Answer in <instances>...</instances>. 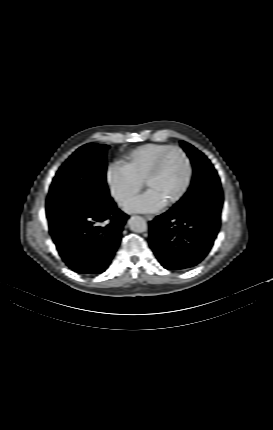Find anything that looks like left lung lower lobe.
<instances>
[{"mask_svg":"<svg viewBox=\"0 0 273 430\" xmlns=\"http://www.w3.org/2000/svg\"><path fill=\"white\" fill-rule=\"evenodd\" d=\"M222 204L221 187L207 185L149 223V244L164 268L189 269L205 258L220 227Z\"/></svg>","mask_w":273,"mask_h":430,"instance_id":"left-lung-lower-lobe-1","label":"left lung lower lobe"}]
</instances>
